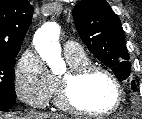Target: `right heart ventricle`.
Segmentation results:
<instances>
[{"label":"right heart ventricle","mask_w":142,"mask_h":119,"mask_svg":"<svg viewBox=\"0 0 142 119\" xmlns=\"http://www.w3.org/2000/svg\"><path fill=\"white\" fill-rule=\"evenodd\" d=\"M67 62L70 68L82 66L89 64V59L87 55L82 51L80 54L77 55H65ZM54 95L57 93V80L53 78V92Z\"/></svg>","instance_id":"1"}]
</instances>
